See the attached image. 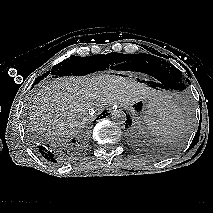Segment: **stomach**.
<instances>
[{
    "label": "stomach",
    "mask_w": 213,
    "mask_h": 213,
    "mask_svg": "<svg viewBox=\"0 0 213 213\" xmlns=\"http://www.w3.org/2000/svg\"><path fill=\"white\" fill-rule=\"evenodd\" d=\"M130 112L134 115L137 120H144L146 124L154 121L158 113L164 111L154 107L148 101L140 100L129 106Z\"/></svg>",
    "instance_id": "0dacf381"
}]
</instances>
